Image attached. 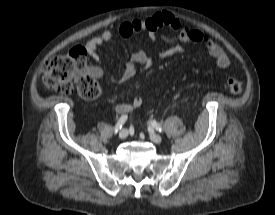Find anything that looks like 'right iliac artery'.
<instances>
[{
	"mask_svg": "<svg viewBox=\"0 0 275 215\" xmlns=\"http://www.w3.org/2000/svg\"><path fill=\"white\" fill-rule=\"evenodd\" d=\"M126 120H127V115H123L120 117V119L118 120V122L115 125L114 133H117L122 128V126L125 124Z\"/></svg>",
	"mask_w": 275,
	"mask_h": 215,
	"instance_id": "obj_1",
	"label": "right iliac artery"
}]
</instances>
